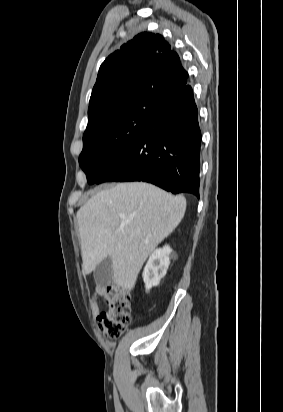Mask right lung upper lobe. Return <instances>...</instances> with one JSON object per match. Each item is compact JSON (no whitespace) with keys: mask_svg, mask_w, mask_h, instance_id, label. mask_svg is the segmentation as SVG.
<instances>
[{"mask_svg":"<svg viewBox=\"0 0 283 412\" xmlns=\"http://www.w3.org/2000/svg\"><path fill=\"white\" fill-rule=\"evenodd\" d=\"M187 78L179 56L161 35L138 34L100 66L85 132L135 104L159 102L164 105L187 84Z\"/></svg>","mask_w":283,"mask_h":412,"instance_id":"cb5924a9","label":"right lung upper lobe"}]
</instances>
